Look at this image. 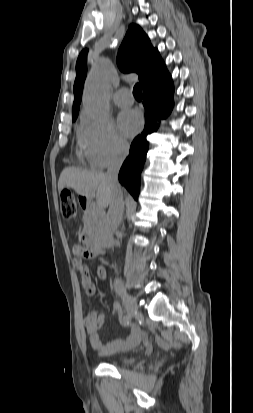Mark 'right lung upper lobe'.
I'll list each match as a JSON object with an SVG mask.
<instances>
[{
  "label": "right lung upper lobe",
  "mask_w": 253,
  "mask_h": 413,
  "mask_svg": "<svg viewBox=\"0 0 253 413\" xmlns=\"http://www.w3.org/2000/svg\"><path fill=\"white\" fill-rule=\"evenodd\" d=\"M87 50H83L76 62L74 82V103L72 117L77 118L84 81L87 74ZM117 63L122 72H136L143 87L160 77H169V73L157 49L153 48L148 36L135 24H131L119 48Z\"/></svg>",
  "instance_id": "cb5924a9"
}]
</instances>
